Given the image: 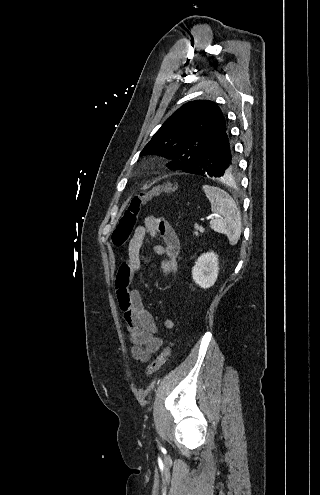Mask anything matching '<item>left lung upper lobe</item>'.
<instances>
[{"instance_id": "left-lung-upper-lobe-1", "label": "left lung upper lobe", "mask_w": 320, "mask_h": 495, "mask_svg": "<svg viewBox=\"0 0 320 495\" xmlns=\"http://www.w3.org/2000/svg\"><path fill=\"white\" fill-rule=\"evenodd\" d=\"M225 130V118L214 102L191 101L164 122L141 154L170 158L172 162L168 167L183 171L192 166Z\"/></svg>"}]
</instances>
